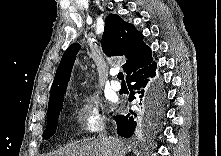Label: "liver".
<instances>
[{
	"mask_svg": "<svg viewBox=\"0 0 221 156\" xmlns=\"http://www.w3.org/2000/svg\"><path fill=\"white\" fill-rule=\"evenodd\" d=\"M105 146L100 139L71 145L57 151L54 156H124L128 147L120 140H110Z\"/></svg>",
	"mask_w": 221,
	"mask_h": 156,
	"instance_id": "liver-1",
	"label": "liver"
}]
</instances>
